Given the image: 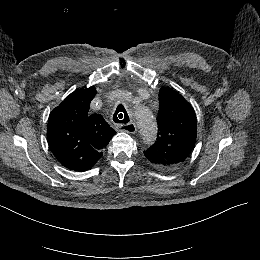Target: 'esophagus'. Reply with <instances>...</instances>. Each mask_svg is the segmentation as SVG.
I'll use <instances>...</instances> for the list:
<instances>
[{"label": "esophagus", "instance_id": "obj_1", "mask_svg": "<svg viewBox=\"0 0 260 260\" xmlns=\"http://www.w3.org/2000/svg\"><path fill=\"white\" fill-rule=\"evenodd\" d=\"M119 130L126 133L134 134L136 132V125L133 122H129L125 125H120Z\"/></svg>", "mask_w": 260, "mask_h": 260}]
</instances>
